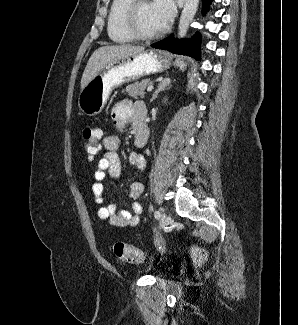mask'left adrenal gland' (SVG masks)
Returning a JSON list of instances; mask_svg holds the SVG:
<instances>
[{
  "mask_svg": "<svg viewBox=\"0 0 298 325\" xmlns=\"http://www.w3.org/2000/svg\"><path fill=\"white\" fill-rule=\"evenodd\" d=\"M171 84V80L170 78H163V80H160L156 90H154L149 102H152V100H155V98H157V94H159V92H161V90H165V88H168V86H170Z\"/></svg>",
  "mask_w": 298,
  "mask_h": 325,
  "instance_id": "obj_1",
  "label": "left adrenal gland"
}]
</instances>
